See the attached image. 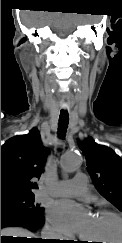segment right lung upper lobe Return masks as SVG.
Listing matches in <instances>:
<instances>
[{"label": "right lung upper lobe", "mask_w": 122, "mask_h": 243, "mask_svg": "<svg viewBox=\"0 0 122 243\" xmlns=\"http://www.w3.org/2000/svg\"><path fill=\"white\" fill-rule=\"evenodd\" d=\"M46 157L36 128L7 140L1 147V198L34 195L32 179L41 176Z\"/></svg>", "instance_id": "1"}]
</instances>
